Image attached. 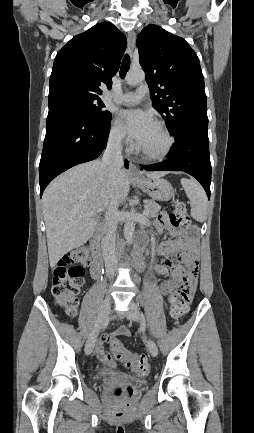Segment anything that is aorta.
Masks as SVG:
<instances>
[{
  "label": "aorta",
  "mask_w": 254,
  "mask_h": 433,
  "mask_svg": "<svg viewBox=\"0 0 254 433\" xmlns=\"http://www.w3.org/2000/svg\"><path fill=\"white\" fill-rule=\"evenodd\" d=\"M145 79V74L142 70H131L126 75V83L129 86H136L143 82ZM135 231V225L133 221L128 220L124 225V236L128 243L133 240V235Z\"/></svg>",
  "instance_id": "obj_1"
}]
</instances>
